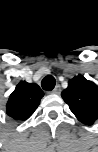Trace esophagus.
Wrapping results in <instances>:
<instances>
[{
  "label": "esophagus",
  "instance_id": "34e87169",
  "mask_svg": "<svg viewBox=\"0 0 98 152\" xmlns=\"http://www.w3.org/2000/svg\"><path fill=\"white\" fill-rule=\"evenodd\" d=\"M61 92V86L57 84L55 88L53 89L52 93L59 94Z\"/></svg>",
  "mask_w": 98,
  "mask_h": 152
}]
</instances>
